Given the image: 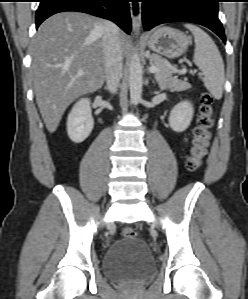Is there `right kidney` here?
<instances>
[{
  "instance_id": "obj_1",
  "label": "right kidney",
  "mask_w": 248,
  "mask_h": 299,
  "mask_svg": "<svg viewBox=\"0 0 248 299\" xmlns=\"http://www.w3.org/2000/svg\"><path fill=\"white\" fill-rule=\"evenodd\" d=\"M89 98H81L75 103L67 118V133L75 143L83 142L94 127Z\"/></svg>"
}]
</instances>
